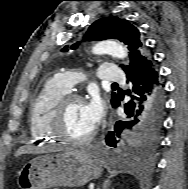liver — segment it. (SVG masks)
I'll return each mask as SVG.
<instances>
[{"mask_svg": "<svg viewBox=\"0 0 188 189\" xmlns=\"http://www.w3.org/2000/svg\"><path fill=\"white\" fill-rule=\"evenodd\" d=\"M32 150L31 148L27 146H22L20 147L16 152H15V157H19L20 155ZM64 151H71V152H78V150H75L73 148H65Z\"/></svg>", "mask_w": 188, "mask_h": 189, "instance_id": "1", "label": "liver"}]
</instances>
